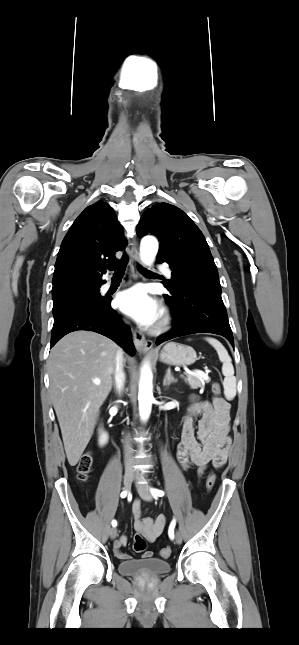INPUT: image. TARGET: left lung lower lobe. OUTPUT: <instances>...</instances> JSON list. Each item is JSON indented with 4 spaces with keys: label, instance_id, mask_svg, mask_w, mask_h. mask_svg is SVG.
<instances>
[{
    "label": "left lung lower lobe",
    "instance_id": "0a47b994",
    "mask_svg": "<svg viewBox=\"0 0 299 645\" xmlns=\"http://www.w3.org/2000/svg\"><path fill=\"white\" fill-rule=\"evenodd\" d=\"M183 272V277L174 287L165 285L170 295L165 294L164 298L173 312L174 327L158 337L156 344L183 335L207 332L224 336L234 346L219 276L195 274L188 270Z\"/></svg>",
    "mask_w": 299,
    "mask_h": 645
}]
</instances>
